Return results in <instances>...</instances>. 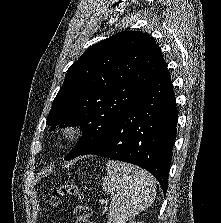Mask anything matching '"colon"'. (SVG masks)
I'll return each mask as SVG.
<instances>
[{"instance_id":"5ec220e1","label":"colon","mask_w":221,"mask_h":223,"mask_svg":"<svg viewBox=\"0 0 221 223\" xmlns=\"http://www.w3.org/2000/svg\"><path fill=\"white\" fill-rule=\"evenodd\" d=\"M74 196L79 200L83 199V193L79 187L74 183L64 184L56 188L50 197V205L56 206L61 197ZM92 214L91 208L86 204H80L75 207L73 216V223H91L90 216Z\"/></svg>"}]
</instances>
